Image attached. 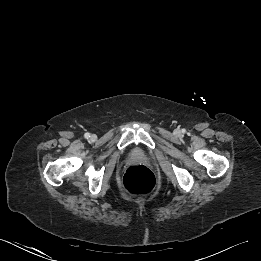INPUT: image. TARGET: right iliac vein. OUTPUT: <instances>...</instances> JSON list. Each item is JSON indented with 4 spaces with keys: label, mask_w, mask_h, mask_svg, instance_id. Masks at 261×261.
Masks as SVG:
<instances>
[{
    "label": "right iliac vein",
    "mask_w": 261,
    "mask_h": 261,
    "mask_svg": "<svg viewBox=\"0 0 261 261\" xmlns=\"http://www.w3.org/2000/svg\"><path fill=\"white\" fill-rule=\"evenodd\" d=\"M94 139H95V136H94V135H92V136H91V140H94Z\"/></svg>",
    "instance_id": "1"
}]
</instances>
